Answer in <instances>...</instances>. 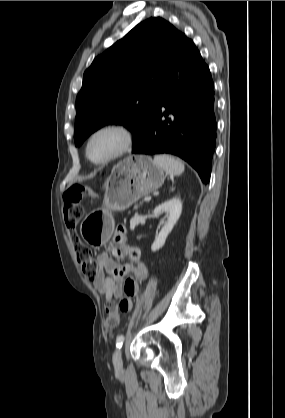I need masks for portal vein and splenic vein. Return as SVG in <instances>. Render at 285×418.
Returning <instances> with one entry per match:
<instances>
[{"instance_id": "obj_1", "label": "portal vein and splenic vein", "mask_w": 285, "mask_h": 418, "mask_svg": "<svg viewBox=\"0 0 285 418\" xmlns=\"http://www.w3.org/2000/svg\"><path fill=\"white\" fill-rule=\"evenodd\" d=\"M150 200H151V196H147V197L144 198L145 202H149Z\"/></svg>"}]
</instances>
